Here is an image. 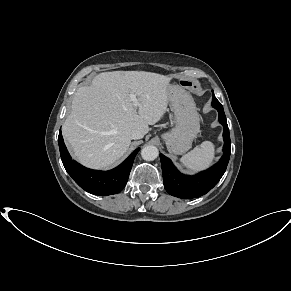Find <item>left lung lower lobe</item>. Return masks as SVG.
<instances>
[{
	"label": "left lung lower lobe",
	"instance_id": "left-lung-lower-lobe-1",
	"mask_svg": "<svg viewBox=\"0 0 291 291\" xmlns=\"http://www.w3.org/2000/svg\"><path fill=\"white\" fill-rule=\"evenodd\" d=\"M212 106L217 109L219 113V122L224 128V154L220 161L212 168L194 176L180 173L174 167L170 159L163 154H160L164 186L166 191L172 196L183 199H192L205 195L218 183L227 168L231 150L229 128L221 103L216 98H213Z\"/></svg>",
	"mask_w": 291,
	"mask_h": 291
}]
</instances>
